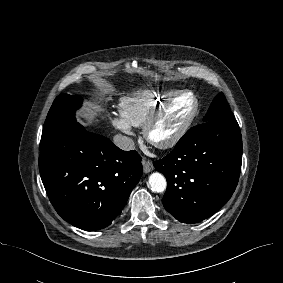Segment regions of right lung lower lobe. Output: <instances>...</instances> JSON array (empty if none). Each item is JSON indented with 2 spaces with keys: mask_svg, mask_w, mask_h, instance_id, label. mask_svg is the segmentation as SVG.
Here are the masks:
<instances>
[{
  "mask_svg": "<svg viewBox=\"0 0 283 283\" xmlns=\"http://www.w3.org/2000/svg\"><path fill=\"white\" fill-rule=\"evenodd\" d=\"M136 151L74 125L39 156L40 175L57 213L83 230L107 227L121 213L143 168Z\"/></svg>",
  "mask_w": 283,
  "mask_h": 283,
  "instance_id": "98d812e1",
  "label": "right lung lower lobe"
}]
</instances>
